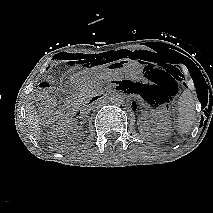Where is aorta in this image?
I'll return each instance as SVG.
<instances>
[{
	"label": "aorta",
	"instance_id": "762f6f07",
	"mask_svg": "<svg viewBox=\"0 0 213 213\" xmlns=\"http://www.w3.org/2000/svg\"><path fill=\"white\" fill-rule=\"evenodd\" d=\"M108 100L110 101V103L112 105L119 106V105H121L124 102V96L120 92H113L109 96Z\"/></svg>",
	"mask_w": 213,
	"mask_h": 213
}]
</instances>
